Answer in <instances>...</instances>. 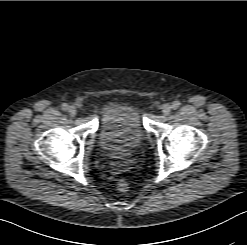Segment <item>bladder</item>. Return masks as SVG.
<instances>
[{"instance_id": "obj_1", "label": "bladder", "mask_w": 247, "mask_h": 245, "mask_svg": "<svg viewBox=\"0 0 247 245\" xmlns=\"http://www.w3.org/2000/svg\"><path fill=\"white\" fill-rule=\"evenodd\" d=\"M144 137L142 116L132 103L112 102L99 118L97 145L104 154L132 152L142 144Z\"/></svg>"}]
</instances>
